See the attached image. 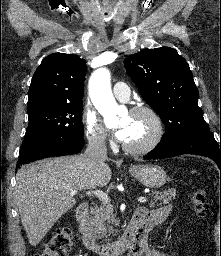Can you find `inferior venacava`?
I'll list each match as a JSON object with an SVG mask.
<instances>
[{"label":"inferior vena cava","instance_id":"1","mask_svg":"<svg viewBox=\"0 0 221 256\" xmlns=\"http://www.w3.org/2000/svg\"><path fill=\"white\" fill-rule=\"evenodd\" d=\"M84 157L92 166L100 167L104 165V161L107 159L105 138L101 135L89 137Z\"/></svg>","mask_w":221,"mask_h":256}]
</instances>
